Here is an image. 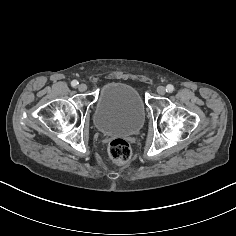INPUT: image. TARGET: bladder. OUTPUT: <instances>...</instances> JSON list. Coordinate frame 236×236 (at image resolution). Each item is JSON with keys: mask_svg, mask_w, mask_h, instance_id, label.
<instances>
[{"mask_svg": "<svg viewBox=\"0 0 236 236\" xmlns=\"http://www.w3.org/2000/svg\"><path fill=\"white\" fill-rule=\"evenodd\" d=\"M93 121L102 134H134L143 126L145 109L137 89L122 82H109L98 95Z\"/></svg>", "mask_w": 236, "mask_h": 236, "instance_id": "1", "label": "bladder"}]
</instances>
